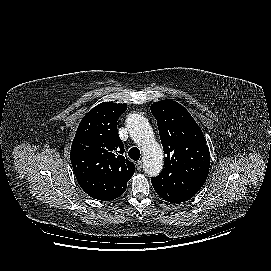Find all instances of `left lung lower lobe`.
<instances>
[{
  "label": "left lung lower lobe",
  "mask_w": 271,
  "mask_h": 271,
  "mask_svg": "<svg viewBox=\"0 0 271 271\" xmlns=\"http://www.w3.org/2000/svg\"><path fill=\"white\" fill-rule=\"evenodd\" d=\"M156 193L166 201L180 203L192 198L201 186L190 182L177 173H172L161 179V182H152Z\"/></svg>",
  "instance_id": "obj_1"
}]
</instances>
